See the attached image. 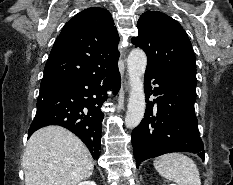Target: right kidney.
Masks as SVG:
<instances>
[{"mask_svg":"<svg viewBox=\"0 0 233 185\" xmlns=\"http://www.w3.org/2000/svg\"><path fill=\"white\" fill-rule=\"evenodd\" d=\"M78 185H96L94 181H84L79 183Z\"/></svg>","mask_w":233,"mask_h":185,"instance_id":"obj_1","label":"right kidney"}]
</instances>
